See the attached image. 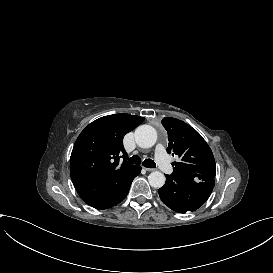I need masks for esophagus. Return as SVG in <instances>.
I'll return each instance as SVG.
<instances>
[{"mask_svg": "<svg viewBox=\"0 0 273 273\" xmlns=\"http://www.w3.org/2000/svg\"><path fill=\"white\" fill-rule=\"evenodd\" d=\"M145 170H146V171H155L154 168H146V167H145Z\"/></svg>", "mask_w": 273, "mask_h": 273, "instance_id": "1", "label": "esophagus"}]
</instances>
